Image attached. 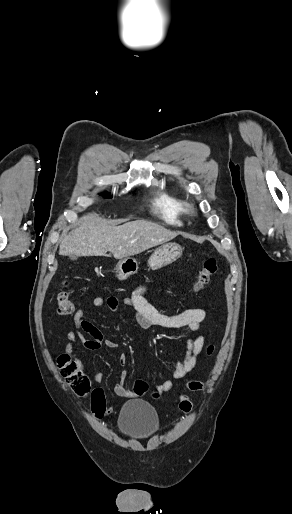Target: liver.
Masks as SVG:
<instances>
[{
  "instance_id": "liver-1",
  "label": "liver",
  "mask_w": 292,
  "mask_h": 514,
  "mask_svg": "<svg viewBox=\"0 0 292 514\" xmlns=\"http://www.w3.org/2000/svg\"><path fill=\"white\" fill-rule=\"evenodd\" d=\"M178 234L147 220L110 226L99 214H87L81 218L79 228L63 238L59 256H107L111 252L113 258L121 260L170 242Z\"/></svg>"
}]
</instances>
